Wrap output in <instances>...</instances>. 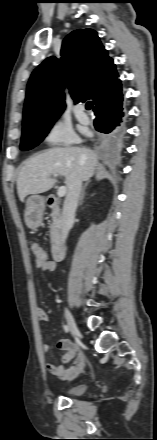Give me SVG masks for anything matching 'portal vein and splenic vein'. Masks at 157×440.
<instances>
[{
	"instance_id": "18ae733b",
	"label": "portal vein and splenic vein",
	"mask_w": 157,
	"mask_h": 440,
	"mask_svg": "<svg viewBox=\"0 0 157 440\" xmlns=\"http://www.w3.org/2000/svg\"><path fill=\"white\" fill-rule=\"evenodd\" d=\"M53 177H58L57 174H54ZM67 193V187L61 186L58 188L57 195L58 197H64Z\"/></svg>"
}]
</instances>
